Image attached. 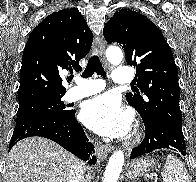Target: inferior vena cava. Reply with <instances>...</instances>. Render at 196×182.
Masks as SVG:
<instances>
[{
	"label": "inferior vena cava",
	"instance_id": "1",
	"mask_svg": "<svg viewBox=\"0 0 196 182\" xmlns=\"http://www.w3.org/2000/svg\"><path fill=\"white\" fill-rule=\"evenodd\" d=\"M69 182H84V167L81 162H76L75 165L72 166Z\"/></svg>",
	"mask_w": 196,
	"mask_h": 182
}]
</instances>
